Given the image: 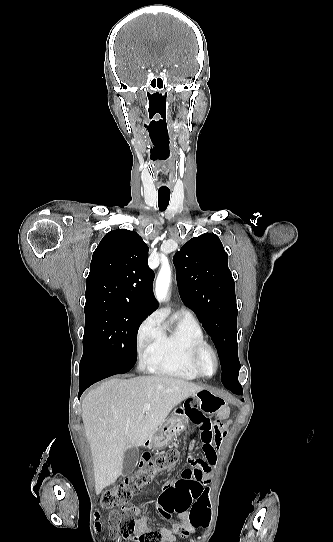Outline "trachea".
I'll return each mask as SVG.
<instances>
[{
  "label": "trachea",
  "mask_w": 333,
  "mask_h": 542,
  "mask_svg": "<svg viewBox=\"0 0 333 542\" xmlns=\"http://www.w3.org/2000/svg\"><path fill=\"white\" fill-rule=\"evenodd\" d=\"M170 201V190L159 189L158 190V207L161 212L166 210Z\"/></svg>",
  "instance_id": "3493384b"
}]
</instances>
